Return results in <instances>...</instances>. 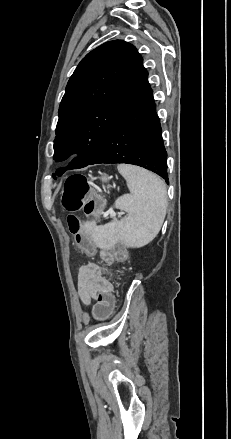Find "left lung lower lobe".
Returning a JSON list of instances; mask_svg holds the SVG:
<instances>
[{"label": "left lung lower lobe", "mask_w": 231, "mask_h": 439, "mask_svg": "<svg viewBox=\"0 0 231 439\" xmlns=\"http://www.w3.org/2000/svg\"><path fill=\"white\" fill-rule=\"evenodd\" d=\"M148 80L88 165L128 163L144 167L168 183L167 153Z\"/></svg>", "instance_id": "0a47b994"}]
</instances>
